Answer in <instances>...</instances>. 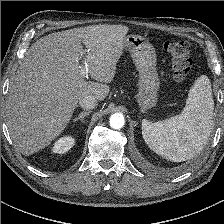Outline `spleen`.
I'll return each instance as SVG.
<instances>
[{
	"mask_svg": "<svg viewBox=\"0 0 224 224\" xmlns=\"http://www.w3.org/2000/svg\"><path fill=\"white\" fill-rule=\"evenodd\" d=\"M214 101L206 75L189 90L180 115L164 121L142 122V135L150 149L172 162H183L201 152L213 127Z\"/></svg>",
	"mask_w": 224,
	"mask_h": 224,
	"instance_id": "3e777b00",
	"label": "spleen"
}]
</instances>
